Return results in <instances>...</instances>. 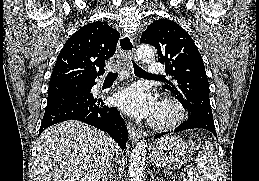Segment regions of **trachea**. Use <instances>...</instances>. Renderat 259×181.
<instances>
[{
    "label": "trachea",
    "mask_w": 259,
    "mask_h": 181,
    "mask_svg": "<svg viewBox=\"0 0 259 181\" xmlns=\"http://www.w3.org/2000/svg\"><path fill=\"white\" fill-rule=\"evenodd\" d=\"M133 63V68H134V74L137 76H153V77H163L161 75H152L143 70L141 67H139L134 61ZM118 73L110 71L107 75V78H117Z\"/></svg>",
    "instance_id": "obj_1"
}]
</instances>
